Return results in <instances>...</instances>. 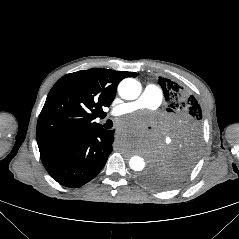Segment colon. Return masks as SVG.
<instances>
[{
	"label": "colon",
	"mask_w": 239,
	"mask_h": 239,
	"mask_svg": "<svg viewBox=\"0 0 239 239\" xmlns=\"http://www.w3.org/2000/svg\"><path fill=\"white\" fill-rule=\"evenodd\" d=\"M187 108L189 111L193 110L196 108V104L193 103V102H189L188 105H187Z\"/></svg>",
	"instance_id": "obj_1"
}]
</instances>
